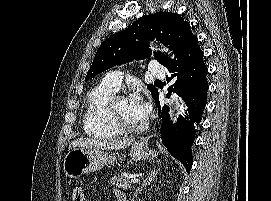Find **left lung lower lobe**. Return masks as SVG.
I'll return each instance as SVG.
<instances>
[{
	"instance_id": "left-lung-lower-lobe-1",
	"label": "left lung lower lobe",
	"mask_w": 271,
	"mask_h": 201,
	"mask_svg": "<svg viewBox=\"0 0 271 201\" xmlns=\"http://www.w3.org/2000/svg\"><path fill=\"white\" fill-rule=\"evenodd\" d=\"M177 60H171L165 67L171 78L177 77L176 82L168 88L176 92L186 104L185 114L180 115L174 125L169 121L168 107H160L158 91L153 95L158 114H161L163 126L161 139L168 152L179 160L189 173L192 167L191 146L195 138V126L201 122V115L207 103L208 69L203 61V52L198 46L197 37L190 42L181 43L175 49ZM167 78V80H171Z\"/></svg>"
}]
</instances>
